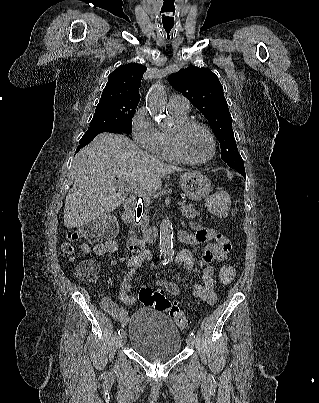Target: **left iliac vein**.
<instances>
[{
    "instance_id": "left-iliac-vein-1",
    "label": "left iliac vein",
    "mask_w": 319,
    "mask_h": 403,
    "mask_svg": "<svg viewBox=\"0 0 319 403\" xmlns=\"http://www.w3.org/2000/svg\"><path fill=\"white\" fill-rule=\"evenodd\" d=\"M187 344L190 346V347H194L195 346V339L193 338V337H188L187 338Z\"/></svg>"
}]
</instances>
